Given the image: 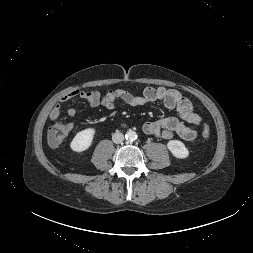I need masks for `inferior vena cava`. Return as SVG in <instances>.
Wrapping results in <instances>:
<instances>
[{
  "label": "inferior vena cava",
  "instance_id": "1",
  "mask_svg": "<svg viewBox=\"0 0 253 253\" xmlns=\"http://www.w3.org/2000/svg\"><path fill=\"white\" fill-rule=\"evenodd\" d=\"M112 140L116 144L122 143L124 141V135L120 132H116L112 135Z\"/></svg>",
  "mask_w": 253,
  "mask_h": 253
}]
</instances>
